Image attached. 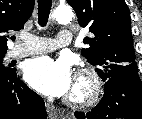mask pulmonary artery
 Instances as JSON below:
<instances>
[{
    "instance_id": "pulmonary-artery-1",
    "label": "pulmonary artery",
    "mask_w": 142,
    "mask_h": 119,
    "mask_svg": "<svg viewBox=\"0 0 142 119\" xmlns=\"http://www.w3.org/2000/svg\"><path fill=\"white\" fill-rule=\"evenodd\" d=\"M20 38L23 44L17 45L10 50L9 56L11 58L51 52L57 48L68 46L72 41V35L66 29L61 30L55 39L37 37L31 34H23Z\"/></svg>"
}]
</instances>
